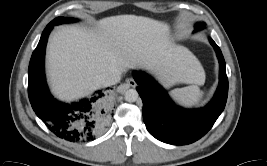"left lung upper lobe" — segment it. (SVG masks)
<instances>
[{"label": "left lung upper lobe", "instance_id": "1", "mask_svg": "<svg viewBox=\"0 0 267 166\" xmlns=\"http://www.w3.org/2000/svg\"><path fill=\"white\" fill-rule=\"evenodd\" d=\"M203 26H204L203 24L198 23V24H196V26H195V30L197 31V30L201 29Z\"/></svg>", "mask_w": 267, "mask_h": 166}]
</instances>
